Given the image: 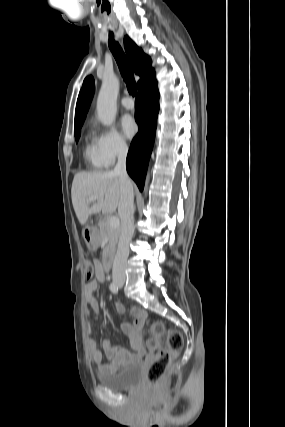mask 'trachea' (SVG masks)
I'll return each mask as SVG.
<instances>
[{
  "label": "trachea",
  "mask_w": 285,
  "mask_h": 427,
  "mask_svg": "<svg viewBox=\"0 0 285 427\" xmlns=\"http://www.w3.org/2000/svg\"><path fill=\"white\" fill-rule=\"evenodd\" d=\"M109 48L113 54V56L115 57V60L118 64L119 70L121 72V75L126 83L128 92L132 95V96H136L137 94V84L135 82L134 79V73L133 70L131 69L126 56L121 48V46L119 45L118 42H116L114 40V35L113 33H109Z\"/></svg>",
  "instance_id": "3493384b"
}]
</instances>
